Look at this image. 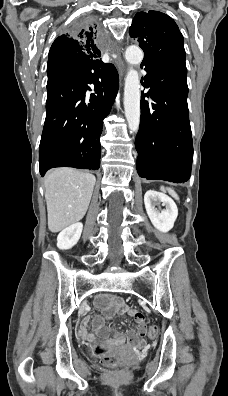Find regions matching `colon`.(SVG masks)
Returning a JSON list of instances; mask_svg holds the SVG:
<instances>
[{"mask_svg": "<svg viewBox=\"0 0 228 396\" xmlns=\"http://www.w3.org/2000/svg\"><path fill=\"white\" fill-rule=\"evenodd\" d=\"M158 330L155 326H150L146 329V336L153 339L157 336ZM95 353L100 356L101 363L109 368H115L119 364V360L116 355L110 353L104 345H95Z\"/></svg>", "mask_w": 228, "mask_h": 396, "instance_id": "obj_1", "label": "colon"}]
</instances>
